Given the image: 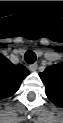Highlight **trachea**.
Wrapping results in <instances>:
<instances>
[{"mask_svg":"<svg viewBox=\"0 0 63 123\" xmlns=\"http://www.w3.org/2000/svg\"><path fill=\"white\" fill-rule=\"evenodd\" d=\"M26 63L33 64L36 61V54L32 50L26 51L24 55Z\"/></svg>","mask_w":63,"mask_h":123,"instance_id":"trachea-1","label":"trachea"}]
</instances>
